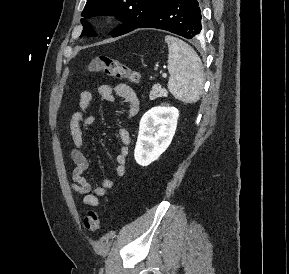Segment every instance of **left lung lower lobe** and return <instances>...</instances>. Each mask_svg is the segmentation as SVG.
Wrapping results in <instances>:
<instances>
[{"mask_svg": "<svg viewBox=\"0 0 289 274\" xmlns=\"http://www.w3.org/2000/svg\"><path fill=\"white\" fill-rule=\"evenodd\" d=\"M137 28L162 29L195 40L202 31L199 1L165 0Z\"/></svg>", "mask_w": 289, "mask_h": 274, "instance_id": "obj_1", "label": "left lung lower lobe"}]
</instances>
